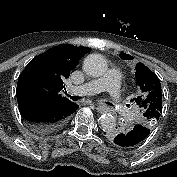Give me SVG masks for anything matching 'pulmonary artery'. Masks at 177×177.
Returning a JSON list of instances; mask_svg holds the SVG:
<instances>
[{
  "mask_svg": "<svg viewBox=\"0 0 177 177\" xmlns=\"http://www.w3.org/2000/svg\"><path fill=\"white\" fill-rule=\"evenodd\" d=\"M120 81L121 72L118 69H110L105 76L72 88L71 93L76 95H93L106 89L109 92L110 102L119 106L123 101L120 92Z\"/></svg>",
  "mask_w": 177,
  "mask_h": 177,
  "instance_id": "1",
  "label": "pulmonary artery"
}]
</instances>
